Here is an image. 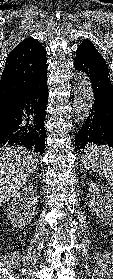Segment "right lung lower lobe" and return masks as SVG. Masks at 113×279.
<instances>
[{"label":"right lung lower lobe","instance_id":"obj_1","mask_svg":"<svg viewBox=\"0 0 113 279\" xmlns=\"http://www.w3.org/2000/svg\"><path fill=\"white\" fill-rule=\"evenodd\" d=\"M47 101L48 86L45 71L4 110L0 118V145L18 144L43 154Z\"/></svg>","mask_w":113,"mask_h":279}]
</instances>
